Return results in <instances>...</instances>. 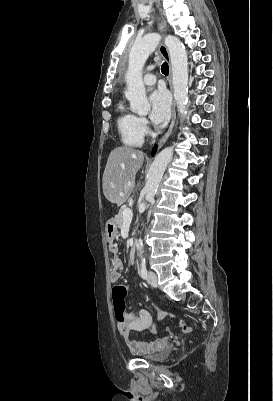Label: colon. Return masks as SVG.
<instances>
[{
  "label": "colon",
  "mask_w": 273,
  "mask_h": 401,
  "mask_svg": "<svg viewBox=\"0 0 273 401\" xmlns=\"http://www.w3.org/2000/svg\"><path fill=\"white\" fill-rule=\"evenodd\" d=\"M130 288V287H129ZM113 314L117 324L124 325L126 323L127 313L125 307L126 287L124 285L113 286Z\"/></svg>",
  "instance_id": "1"
}]
</instances>
